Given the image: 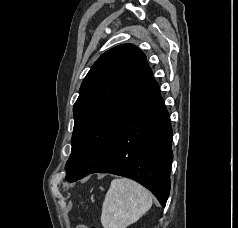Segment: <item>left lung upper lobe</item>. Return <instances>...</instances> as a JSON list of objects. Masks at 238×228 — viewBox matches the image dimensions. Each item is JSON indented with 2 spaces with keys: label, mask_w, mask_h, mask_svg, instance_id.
Returning a JSON list of instances; mask_svg holds the SVG:
<instances>
[{
  "label": "left lung upper lobe",
  "mask_w": 238,
  "mask_h": 228,
  "mask_svg": "<svg viewBox=\"0 0 238 228\" xmlns=\"http://www.w3.org/2000/svg\"><path fill=\"white\" fill-rule=\"evenodd\" d=\"M152 70L132 44L114 47L92 66L74 104V131L66 179L94 169L110 153L141 99Z\"/></svg>",
  "instance_id": "left-lung-upper-lobe-1"
}]
</instances>
